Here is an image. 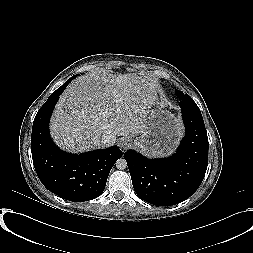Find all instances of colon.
<instances>
[{"instance_id":"obj_1","label":"colon","mask_w":253,"mask_h":253,"mask_svg":"<svg viewBox=\"0 0 253 253\" xmlns=\"http://www.w3.org/2000/svg\"><path fill=\"white\" fill-rule=\"evenodd\" d=\"M153 94L155 97H160L161 96V89L160 88H154L153 89Z\"/></svg>"}]
</instances>
